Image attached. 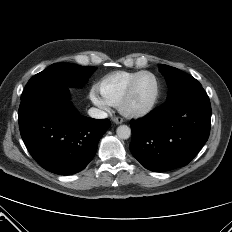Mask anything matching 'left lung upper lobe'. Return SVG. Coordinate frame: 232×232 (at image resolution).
<instances>
[{
	"mask_svg": "<svg viewBox=\"0 0 232 232\" xmlns=\"http://www.w3.org/2000/svg\"><path fill=\"white\" fill-rule=\"evenodd\" d=\"M159 68L169 87L167 99H171L186 90L201 86L194 77L177 68L168 65H160Z\"/></svg>",
	"mask_w": 232,
	"mask_h": 232,
	"instance_id": "obj_1",
	"label": "left lung upper lobe"
}]
</instances>
